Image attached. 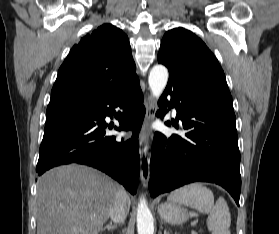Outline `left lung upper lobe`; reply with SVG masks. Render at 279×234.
Instances as JSON below:
<instances>
[{
  "label": "left lung upper lobe",
  "mask_w": 279,
  "mask_h": 234,
  "mask_svg": "<svg viewBox=\"0 0 279 234\" xmlns=\"http://www.w3.org/2000/svg\"><path fill=\"white\" fill-rule=\"evenodd\" d=\"M158 62L183 80L230 94L225 74L205 43L182 27L165 33Z\"/></svg>",
  "instance_id": "left-lung-upper-lobe-1"
}]
</instances>
